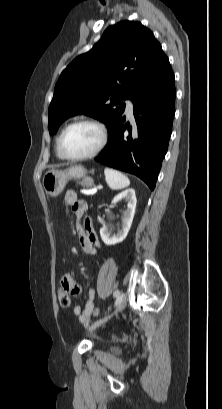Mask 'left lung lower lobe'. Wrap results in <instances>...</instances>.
I'll use <instances>...</instances> for the list:
<instances>
[{"label":"left lung lower lobe","instance_id":"obj_1","mask_svg":"<svg viewBox=\"0 0 222 409\" xmlns=\"http://www.w3.org/2000/svg\"><path fill=\"white\" fill-rule=\"evenodd\" d=\"M175 95L174 74L169 70L132 98L138 137H131V128L121 114L108 131L107 146L95 160L138 176L153 190L172 132ZM126 129L129 136L124 139Z\"/></svg>","mask_w":222,"mask_h":409}]
</instances>
